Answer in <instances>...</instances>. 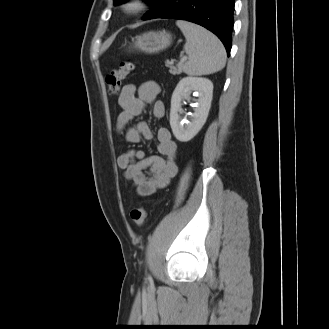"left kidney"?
Returning a JSON list of instances; mask_svg holds the SVG:
<instances>
[{
    "instance_id": "5707ae66",
    "label": "left kidney",
    "mask_w": 329,
    "mask_h": 329,
    "mask_svg": "<svg viewBox=\"0 0 329 329\" xmlns=\"http://www.w3.org/2000/svg\"><path fill=\"white\" fill-rule=\"evenodd\" d=\"M196 91L197 100L191 122L181 123L178 114L181 111V101ZM213 95V83L202 77H184L177 84L171 98L170 125L177 140L187 142L191 140L203 127L208 117Z\"/></svg>"
}]
</instances>
